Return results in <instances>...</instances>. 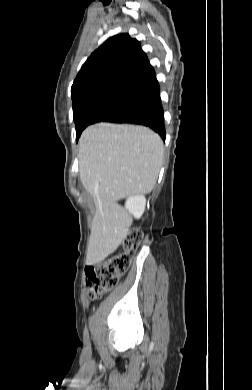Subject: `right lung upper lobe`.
<instances>
[{
	"mask_svg": "<svg viewBox=\"0 0 252 390\" xmlns=\"http://www.w3.org/2000/svg\"><path fill=\"white\" fill-rule=\"evenodd\" d=\"M159 87L140 42L128 34L105 41L81 67L71 87L73 110L101 98L138 100Z\"/></svg>",
	"mask_w": 252,
	"mask_h": 390,
	"instance_id": "obj_1",
	"label": "right lung upper lobe"
}]
</instances>
